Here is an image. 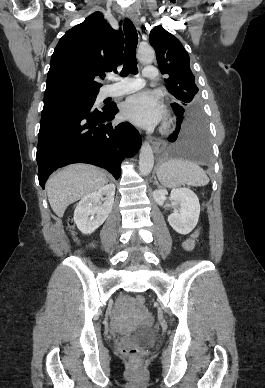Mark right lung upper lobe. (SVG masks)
<instances>
[{"label":"right lung upper lobe","instance_id":"cb5924a9","mask_svg":"<svg viewBox=\"0 0 265 388\" xmlns=\"http://www.w3.org/2000/svg\"><path fill=\"white\" fill-rule=\"evenodd\" d=\"M124 36L114 30L101 12L68 30L51 57L46 98L74 94H98L96 81L105 71H117L123 61Z\"/></svg>","mask_w":265,"mask_h":388}]
</instances>
